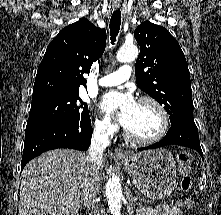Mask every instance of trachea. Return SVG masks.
<instances>
[{"label": "trachea", "mask_w": 221, "mask_h": 215, "mask_svg": "<svg viewBox=\"0 0 221 215\" xmlns=\"http://www.w3.org/2000/svg\"><path fill=\"white\" fill-rule=\"evenodd\" d=\"M120 25H121V11L118 9L113 12L109 24L112 44H114V42L116 41V37L120 30Z\"/></svg>", "instance_id": "3493384b"}]
</instances>
